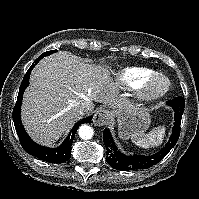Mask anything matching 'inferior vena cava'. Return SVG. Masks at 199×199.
Instances as JSON below:
<instances>
[{"mask_svg": "<svg viewBox=\"0 0 199 199\" xmlns=\"http://www.w3.org/2000/svg\"><path fill=\"white\" fill-rule=\"evenodd\" d=\"M90 110L89 106L86 104H82L80 106H78L77 111L80 115H84L85 113H87Z\"/></svg>", "mask_w": 199, "mask_h": 199, "instance_id": "obj_1", "label": "inferior vena cava"}]
</instances>
